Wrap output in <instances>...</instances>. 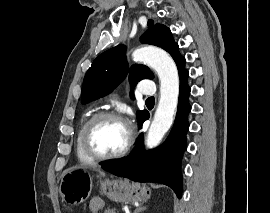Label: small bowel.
I'll return each instance as SVG.
<instances>
[{
    "label": "small bowel",
    "instance_id": "c3829d8e",
    "mask_svg": "<svg viewBox=\"0 0 270 213\" xmlns=\"http://www.w3.org/2000/svg\"><path fill=\"white\" fill-rule=\"evenodd\" d=\"M102 208V203L98 200H91L89 203L90 213H99Z\"/></svg>",
    "mask_w": 270,
    "mask_h": 213
}]
</instances>
